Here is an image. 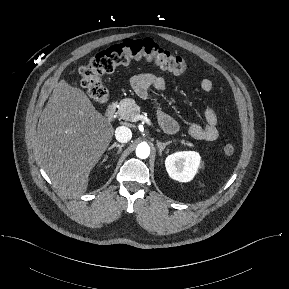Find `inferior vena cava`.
I'll list each match as a JSON object with an SVG mask.
<instances>
[{"label": "inferior vena cava", "instance_id": "1", "mask_svg": "<svg viewBox=\"0 0 289 289\" xmlns=\"http://www.w3.org/2000/svg\"><path fill=\"white\" fill-rule=\"evenodd\" d=\"M115 137L118 142L127 143L132 138V132L126 126H119L115 130Z\"/></svg>", "mask_w": 289, "mask_h": 289}]
</instances>
